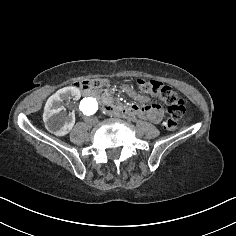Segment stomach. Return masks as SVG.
Segmentation results:
<instances>
[{"label":"stomach","instance_id":"0dacf381","mask_svg":"<svg viewBox=\"0 0 236 236\" xmlns=\"http://www.w3.org/2000/svg\"><path fill=\"white\" fill-rule=\"evenodd\" d=\"M119 91L124 93L130 99L135 100L137 103L150 104L152 102V95L147 92H141L134 85L128 82H121L119 84Z\"/></svg>","mask_w":236,"mask_h":236}]
</instances>
